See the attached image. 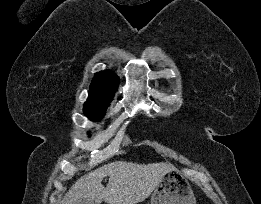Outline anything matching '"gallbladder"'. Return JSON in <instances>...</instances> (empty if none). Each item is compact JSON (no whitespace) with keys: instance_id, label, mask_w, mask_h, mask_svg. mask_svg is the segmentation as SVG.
Wrapping results in <instances>:
<instances>
[{"instance_id":"1","label":"gallbladder","mask_w":261,"mask_h":204,"mask_svg":"<svg viewBox=\"0 0 261 204\" xmlns=\"http://www.w3.org/2000/svg\"><path fill=\"white\" fill-rule=\"evenodd\" d=\"M76 204H96V203H95L94 200H92V199H89V198H81V199H79V200L76 202Z\"/></svg>"}]
</instances>
